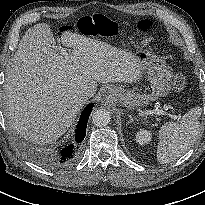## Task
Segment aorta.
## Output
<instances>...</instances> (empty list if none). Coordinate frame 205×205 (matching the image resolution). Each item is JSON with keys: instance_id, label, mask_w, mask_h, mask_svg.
I'll list each match as a JSON object with an SVG mask.
<instances>
[{"instance_id": "1", "label": "aorta", "mask_w": 205, "mask_h": 205, "mask_svg": "<svg viewBox=\"0 0 205 205\" xmlns=\"http://www.w3.org/2000/svg\"><path fill=\"white\" fill-rule=\"evenodd\" d=\"M111 115L106 109H98L92 115V122L97 127H103L110 122Z\"/></svg>"}]
</instances>
